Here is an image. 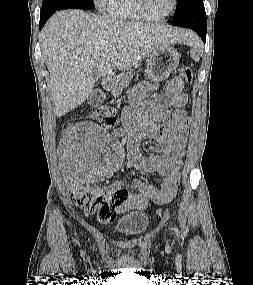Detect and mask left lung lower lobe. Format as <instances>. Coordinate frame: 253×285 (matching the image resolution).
Returning a JSON list of instances; mask_svg holds the SVG:
<instances>
[{
  "label": "left lung lower lobe",
  "instance_id": "0a47b994",
  "mask_svg": "<svg viewBox=\"0 0 253 285\" xmlns=\"http://www.w3.org/2000/svg\"><path fill=\"white\" fill-rule=\"evenodd\" d=\"M169 23L174 26L193 29L205 43L207 20L203 1L191 6L187 11L175 17L174 21H170Z\"/></svg>",
  "mask_w": 253,
  "mask_h": 285
}]
</instances>
